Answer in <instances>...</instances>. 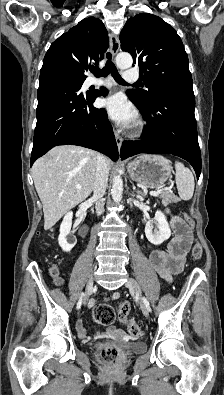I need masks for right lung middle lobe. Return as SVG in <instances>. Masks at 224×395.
I'll list each match as a JSON object with an SVG mask.
<instances>
[{"label":"right lung middle lobe","mask_w":224,"mask_h":395,"mask_svg":"<svg viewBox=\"0 0 224 395\" xmlns=\"http://www.w3.org/2000/svg\"><path fill=\"white\" fill-rule=\"evenodd\" d=\"M49 73H51L55 76H58L62 79L67 80L69 83H71L72 85H74L75 87H77L79 89L81 88V85L83 84V82L85 80L83 78H78V77L69 75V74H67L63 71H59V70H51V71H49Z\"/></svg>","instance_id":"1"}]
</instances>
